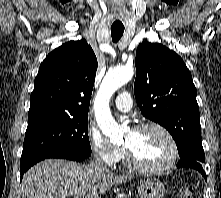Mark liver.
<instances>
[{
	"label": "liver",
	"instance_id": "6515ba94",
	"mask_svg": "<svg viewBox=\"0 0 221 198\" xmlns=\"http://www.w3.org/2000/svg\"><path fill=\"white\" fill-rule=\"evenodd\" d=\"M130 179L113 175L108 170L94 169L90 165L48 159L24 174L21 194L22 198H68L77 195L101 198L113 185Z\"/></svg>",
	"mask_w": 221,
	"mask_h": 198
}]
</instances>
